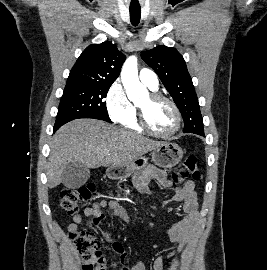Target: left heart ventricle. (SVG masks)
<instances>
[{"label":"left heart ventricle","instance_id":"left-heart-ventricle-1","mask_svg":"<svg viewBox=\"0 0 267 270\" xmlns=\"http://www.w3.org/2000/svg\"><path fill=\"white\" fill-rule=\"evenodd\" d=\"M139 106L146 111L150 126L157 132L169 133L173 130L176 117L171 106L164 101H151L149 96L144 98Z\"/></svg>","mask_w":267,"mask_h":270}]
</instances>
